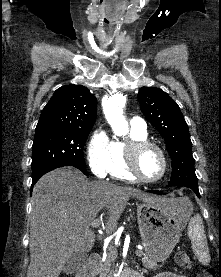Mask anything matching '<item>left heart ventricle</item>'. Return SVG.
Returning <instances> with one entry per match:
<instances>
[{"label":"left heart ventricle","instance_id":"left-heart-ventricle-1","mask_svg":"<svg viewBox=\"0 0 221 277\" xmlns=\"http://www.w3.org/2000/svg\"><path fill=\"white\" fill-rule=\"evenodd\" d=\"M139 169L144 177L157 178L162 171V160L159 153L155 149L144 151L139 159Z\"/></svg>","mask_w":221,"mask_h":277}]
</instances>
